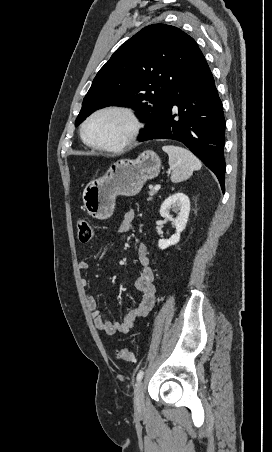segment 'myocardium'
I'll return each mask as SVG.
<instances>
[{"label": "myocardium", "mask_w": 272, "mask_h": 452, "mask_svg": "<svg viewBox=\"0 0 272 452\" xmlns=\"http://www.w3.org/2000/svg\"><path fill=\"white\" fill-rule=\"evenodd\" d=\"M110 112L122 114L128 119L130 123L128 134L123 139V141L115 145H103L90 142L86 137V128L88 124L98 115ZM140 130L141 122L130 108L120 105H108L95 110L85 119L81 126L80 134L83 142L93 149L106 152H120L129 147L136 140L137 136L140 133Z\"/></svg>", "instance_id": "obj_1"}]
</instances>
